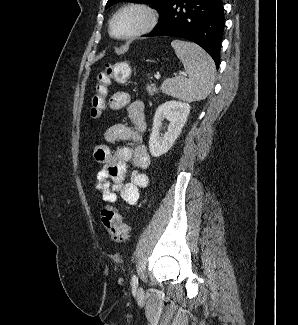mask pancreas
Listing matches in <instances>:
<instances>
[{
	"mask_svg": "<svg viewBox=\"0 0 298 325\" xmlns=\"http://www.w3.org/2000/svg\"><path fill=\"white\" fill-rule=\"evenodd\" d=\"M146 90L148 94H150V96H153V94H158L159 92V88L156 82H152V84H148V86H146Z\"/></svg>",
	"mask_w": 298,
	"mask_h": 325,
	"instance_id": "cf45deb5",
	"label": "pancreas"
}]
</instances>
